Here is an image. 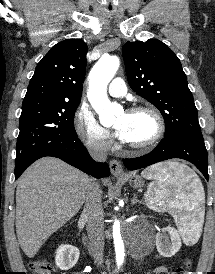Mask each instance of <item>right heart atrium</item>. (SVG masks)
Wrapping results in <instances>:
<instances>
[{
    "label": "right heart atrium",
    "instance_id": "d8ad5b80",
    "mask_svg": "<svg viewBox=\"0 0 215 274\" xmlns=\"http://www.w3.org/2000/svg\"><path fill=\"white\" fill-rule=\"evenodd\" d=\"M76 134L92 151L105 152L111 148L112 141L109 131L101 126L94 115L86 108H80L74 119Z\"/></svg>",
    "mask_w": 215,
    "mask_h": 274
}]
</instances>
